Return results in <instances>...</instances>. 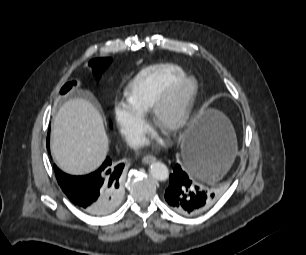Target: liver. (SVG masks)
I'll list each match as a JSON object with an SVG mask.
<instances>
[{
    "mask_svg": "<svg viewBox=\"0 0 306 255\" xmlns=\"http://www.w3.org/2000/svg\"><path fill=\"white\" fill-rule=\"evenodd\" d=\"M51 152L58 167L71 175L96 170L109 149L102 117L88 100L74 98L58 110L52 125Z\"/></svg>",
    "mask_w": 306,
    "mask_h": 255,
    "instance_id": "1",
    "label": "liver"
}]
</instances>
